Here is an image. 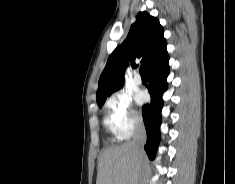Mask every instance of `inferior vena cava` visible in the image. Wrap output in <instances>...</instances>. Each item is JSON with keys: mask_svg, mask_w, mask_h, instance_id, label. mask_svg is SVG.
I'll use <instances>...</instances> for the list:
<instances>
[{"mask_svg": "<svg viewBox=\"0 0 235 184\" xmlns=\"http://www.w3.org/2000/svg\"><path fill=\"white\" fill-rule=\"evenodd\" d=\"M146 142V130L142 120H137L135 132L131 142L135 154H143V146Z\"/></svg>", "mask_w": 235, "mask_h": 184, "instance_id": "inferior-vena-cava-1", "label": "inferior vena cava"}]
</instances>
